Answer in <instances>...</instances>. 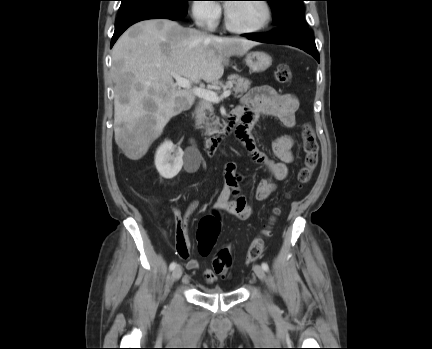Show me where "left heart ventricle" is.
<instances>
[{"label": "left heart ventricle", "mask_w": 432, "mask_h": 349, "mask_svg": "<svg viewBox=\"0 0 432 349\" xmlns=\"http://www.w3.org/2000/svg\"><path fill=\"white\" fill-rule=\"evenodd\" d=\"M230 20L240 28H254L265 19V9L261 2H235L227 5Z\"/></svg>", "instance_id": "1"}]
</instances>
